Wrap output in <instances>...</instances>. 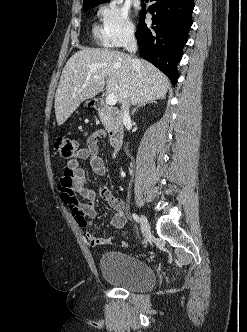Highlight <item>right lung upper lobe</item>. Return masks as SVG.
<instances>
[{
	"mask_svg": "<svg viewBox=\"0 0 247 332\" xmlns=\"http://www.w3.org/2000/svg\"><path fill=\"white\" fill-rule=\"evenodd\" d=\"M107 0H84L83 6L93 5V4H101Z\"/></svg>",
	"mask_w": 247,
	"mask_h": 332,
	"instance_id": "right-lung-upper-lobe-1",
	"label": "right lung upper lobe"
}]
</instances>
